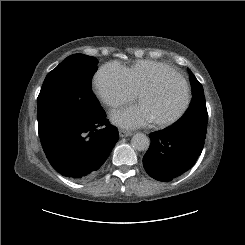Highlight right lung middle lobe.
<instances>
[{
    "label": "right lung middle lobe",
    "mask_w": 245,
    "mask_h": 245,
    "mask_svg": "<svg viewBox=\"0 0 245 245\" xmlns=\"http://www.w3.org/2000/svg\"><path fill=\"white\" fill-rule=\"evenodd\" d=\"M94 57L73 54L48 73L37 99L39 135L66 123L91 119L102 110L92 91Z\"/></svg>",
    "instance_id": "obj_1"
}]
</instances>
